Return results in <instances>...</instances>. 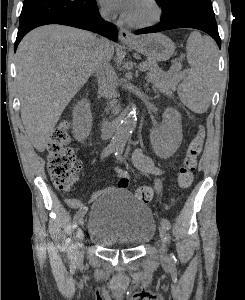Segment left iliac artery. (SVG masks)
Returning a JSON list of instances; mask_svg holds the SVG:
<instances>
[{
    "label": "left iliac artery",
    "instance_id": "44dca946",
    "mask_svg": "<svg viewBox=\"0 0 245 300\" xmlns=\"http://www.w3.org/2000/svg\"><path fill=\"white\" fill-rule=\"evenodd\" d=\"M122 151H123L122 147H118V148H116V150H115V155L117 156V158H118L119 160H122ZM155 187H156V194H157V195H160V194H161V186H160V184H159V183H156V184H155ZM158 197H159V196H158ZM161 223L165 226V228H166L167 230H169V229L171 228V223H170V221H169L168 219L162 218V219H161ZM175 263H176V258H175V256H174L173 254H171V257H170V264H171V265H174Z\"/></svg>",
    "mask_w": 245,
    "mask_h": 300
}]
</instances>
